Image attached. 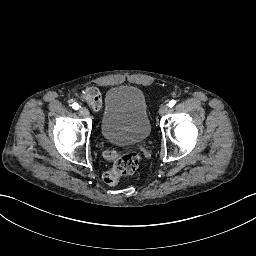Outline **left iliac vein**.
Listing matches in <instances>:
<instances>
[{"label":"left iliac vein","mask_w":256,"mask_h":256,"mask_svg":"<svg viewBox=\"0 0 256 256\" xmlns=\"http://www.w3.org/2000/svg\"><path fill=\"white\" fill-rule=\"evenodd\" d=\"M168 110H169L168 105L162 104V105L160 106V108H159L158 113H159V115H164V114H166V113L168 112Z\"/></svg>","instance_id":"obj_1"}]
</instances>
